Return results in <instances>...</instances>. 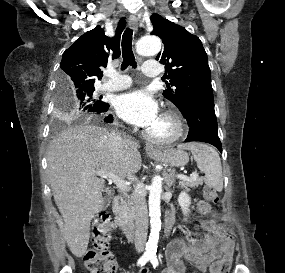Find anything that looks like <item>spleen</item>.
<instances>
[{"instance_id": "1", "label": "spleen", "mask_w": 285, "mask_h": 273, "mask_svg": "<svg viewBox=\"0 0 285 273\" xmlns=\"http://www.w3.org/2000/svg\"><path fill=\"white\" fill-rule=\"evenodd\" d=\"M180 148L190 150L197 167L205 174V183L217 191L223 189V176L221 160L216 150L206 144L189 143Z\"/></svg>"}]
</instances>
